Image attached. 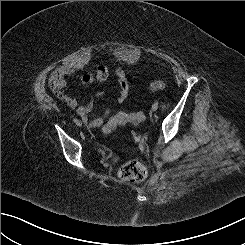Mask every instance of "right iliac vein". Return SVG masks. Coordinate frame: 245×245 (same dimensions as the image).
<instances>
[{"label":"right iliac vein","instance_id":"63e3f726","mask_svg":"<svg viewBox=\"0 0 245 245\" xmlns=\"http://www.w3.org/2000/svg\"><path fill=\"white\" fill-rule=\"evenodd\" d=\"M77 125H78V126H82V122H81V121H78V122H77Z\"/></svg>","mask_w":245,"mask_h":245}]
</instances>
